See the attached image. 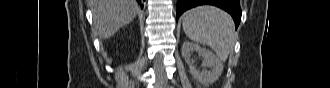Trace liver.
Wrapping results in <instances>:
<instances>
[{"label":"liver","mask_w":330,"mask_h":88,"mask_svg":"<svg viewBox=\"0 0 330 88\" xmlns=\"http://www.w3.org/2000/svg\"><path fill=\"white\" fill-rule=\"evenodd\" d=\"M96 33L101 39L113 36L129 24L138 12L135 0H91L89 2Z\"/></svg>","instance_id":"obj_1"}]
</instances>
